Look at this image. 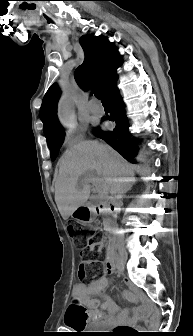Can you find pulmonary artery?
<instances>
[{"label": "pulmonary artery", "instance_id": "1", "mask_svg": "<svg viewBox=\"0 0 193 336\" xmlns=\"http://www.w3.org/2000/svg\"><path fill=\"white\" fill-rule=\"evenodd\" d=\"M88 108L89 111L94 115H102L104 113V108L94 99L89 101Z\"/></svg>", "mask_w": 193, "mask_h": 336}]
</instances>
